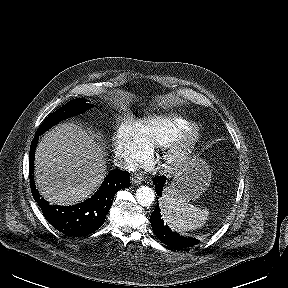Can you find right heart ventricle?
Segmentation results:
<instances>
[{"instance_id": "obj_1", "label": "right heart ventricle", "mask_w": 288, "mask_h": 288, "mask_svg": "<svg viewBox=\"0 0 288 288\" xmlns=\"http://www.w3.org/2000/svg\"><path fill=\"white\" fill-rule=\"evenodd\" d=\"M190 123L188 118L178 114H157L143 119L138 126L143 139L152 148L163 147Z\"/></svg>"}]
</instances>
